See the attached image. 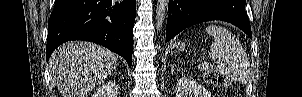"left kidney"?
<instances>
[{"mask_svg": "<svg viewBox=\"0 0 302 97\" xmlns=\"http://www.w3.org/2000/svg\"><path fill=\"white\" fill-rule=\"evenodd\" d=\"M175 93L176 97H211V93L205 87L187 77L179 79Z\"/></svg>", "mask_w": 302, "mask_h": 97, "instance_id": "1", "label": "left kidney"}]
</instances>
